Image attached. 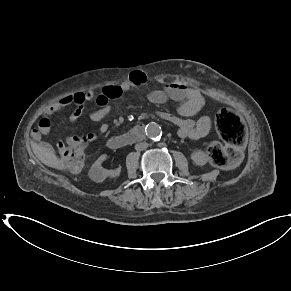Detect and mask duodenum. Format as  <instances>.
<instances>
[{
  "instance_id": "410a0bca",
  "label": "duodenum",
  "mask_w": 291,
  "mask_h": 291,
  "mask_svg": "<svg viewBox=\"0 0 291 291\" xmlns=\"http://www.w3.org/2000/svg\"><path fill=\"white\" fill-rule=\"evenodd\" d=\"M159 116V115H158ZM145 132V125L143 123L137 124L131 131L110 138L107 141V146L110 149H119L138 142L142 139Z\"/></svg>"
}]
</instances>
